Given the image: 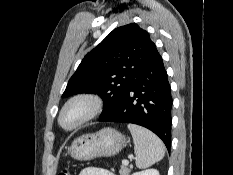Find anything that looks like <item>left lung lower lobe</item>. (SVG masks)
Masks as SVG:
<instances>
[{
	"mask_svg": "<svg viewBox=\"0 0 233 175\" xmlns=\"http://www.w3.org/2000/svg\"><path fill=\"white\" fill-rule=\"evenodd\" d=\"M171 88L157 49L138 72L115 110L99 121L133 123L154 132L170 149Z\"/></svg>",
	"mask_w": 233,
	"mask_h": 175,
	"instance_id": "obj_1",
	"label": "left lung lower lobe"
}]
</instances>
